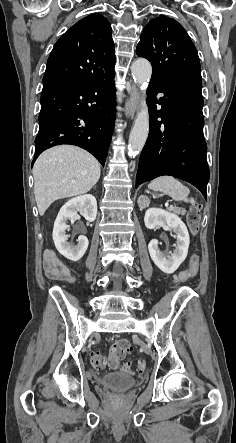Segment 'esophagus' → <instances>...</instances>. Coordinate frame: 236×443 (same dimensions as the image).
Wrapping results in <instances>:
<instances>
[{
    "instance_id": "obj_1",
    "label": "esophagus",
    "mask_w": 236,
    "mask_h": 443,
    "mask_svg": "<svg viewBox=\"0 0 236 443\" xmlns=\"http://www.w3.org/2000/svg\"><path fill=\"white\" fill-rule=\"evenodd\" d=\"M140 102V94L137 87L133 84L131 86L130 98L128 99L125 107V114L133 117L136 113Z\"/></svg>"
}]
</instances>
